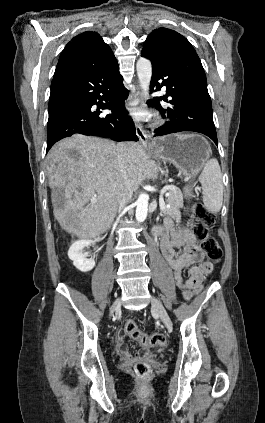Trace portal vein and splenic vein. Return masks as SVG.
I'll use <instances>...</instances> for the list:
<instances>
[{"mask_svg": "<svg viewBox=\"0 0 265 423\" xmlns=\"http://www.w3.org/2000/svg\"><path fill=\"white\" fill-rule=\"evenodd\" d=\"M186 180H187V179H186ZM169 190H176V187H175L174 185H166V186H165V187L161 190V192H160L159 205H160V208H161L162 210H164L165 208L169 207V205H166V203H165V201H164V197H163L164 193H165L166 191H169ZM96 202H97L96 198H92V199H91V203H96Z\"/></svg>", "mask_w": 265, "mask_h": 423, "instance_id": "18ae733b", "label": "portal vein and splenic vein"}]
</instances>
